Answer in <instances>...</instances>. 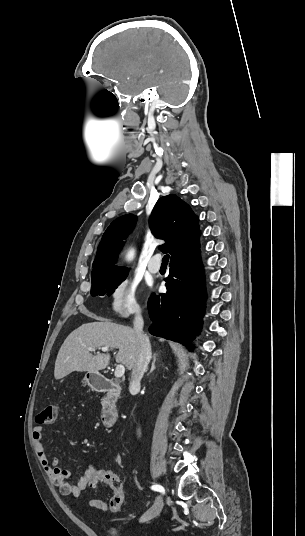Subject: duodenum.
Masks as SVG:
<instances>
[{
    "label": "duodenum",
    "mask_w": 305,
    "mask_h": 536,
    "mask_svg": "<svg viewBox=\"0 0 305 536\" xmlns=\"http://www.w3.org/2000/svg\"><path fill=\"white\" fill-rule=\"evenodd\" d=\"M91 386L94 390L105 394L101 409V421L105 427H113L118 421L115 403L120 395V388L117 382L97 375L92 377Z\"/></svg>",
    "instance_id": "duodenum-1"
}]
</instances>
